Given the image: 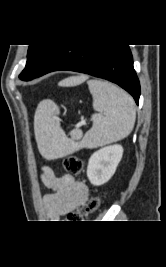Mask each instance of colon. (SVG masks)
I'll list each match as a JSON object with an SVG mask.
<instances>
[{
  "label": "colon",
  "mask_w": 166,
  "mask_h": 267,
  "mask_svg": "<svg viewBox=\"0 0 166 267\" xmlns=\"http://www.w3.org/2000/svg\"><path fill=\"white\" fill-rule=\"evenodd\" d=\"M63 166L69 175L78 176L83 170V162L75 156H68L63 160ZM101 204V198L92 197L83 207L68 215L69 222H82L89 214L96 211Z\"/></svg>",
  "instance_id": "1"
}]
</instances>
